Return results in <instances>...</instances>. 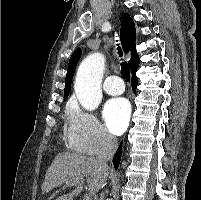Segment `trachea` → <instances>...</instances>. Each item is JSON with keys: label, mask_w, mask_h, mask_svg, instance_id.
<instances>
[{"label": "trachea", "mask_w": 201, "mask_h": 200, "mask_svg": "<svg viewBox=\"0 0 201 200\" xmlns=\"http://www.w3.org/2000/svg\"><path fill=\"white\" fill-rule=\"evenodd\" d=\"M117 50H118L119 57H122V50L119 45L117 47ZM120 65H121V74H122L123 78L126 79L127 81H129L130 80V71H129L127 64L125 62H121Z\"/></svg>", "instance_id": "obj_1"}]
</instances>
